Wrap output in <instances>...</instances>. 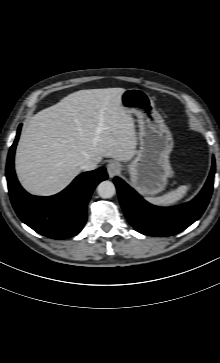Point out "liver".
<instances>
[{"instance_id":"obj_1","label":"liver","mask_w":220,"mask_h":363,"mask_svg":"<svg viewBox=\"0 0 220 363\" xmlns=\"http://www.w3.org/2000/svg\"><path fill=\"white\" fill-rule=\"evenodd\" d=\"M124 91L80 90L34 115L16 149L22 186L34 195L50 196L67 187L87 161L131 160L137 137L134 119L121 106Z\"/></svg>"}]
</instances>
